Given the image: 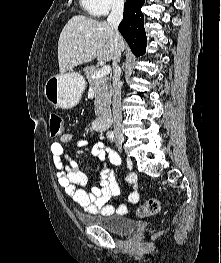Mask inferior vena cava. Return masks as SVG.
<instances>
[{"label": "inferior vena cava", "instance_id": "1", "mask_svg": "<svg viewBox=\"0 0 221 263\" xmlns=\"http://www.w3.org/2000/svg\"><path fill=\"white\" fill-rule=\"evenodd\" d=\"M124 0H112V10L109 14L107 21L114 28L115 35V53L113 57V98H112V111H113V125L114 133L117 139L123 138L122 133V111H121V85L119 78L121 71L118 63L120 61L121 52L124 48V41L118 32V26L123 18Z\"/></svg>", "mask_w": 221, "mask_h": 263}]
</instances>
